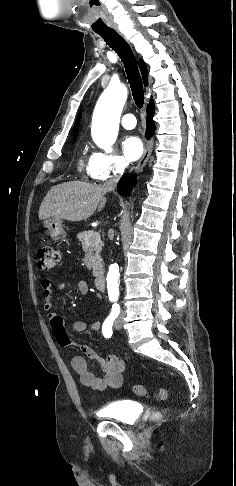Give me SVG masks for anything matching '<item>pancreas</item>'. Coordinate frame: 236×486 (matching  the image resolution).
<instances>
[{
	"instance_id": "pancreas-1",
	"label": "pancreas",
	"mask_w": 236,
	"mask_h": 486,
	"mask_svg": "<svg viewBox=\"0 0 236 486\" xmlns=\"http://www.w3.org/2000/svg\"><path fill=\"white\" fill-rule=\"evenodd\" d=\"M77 237L83 249H90L92 251L93 276H97L102 272V261L100 258L102 243L96 240L93 231H83Z\"/></svg>"
}]
</instances>
